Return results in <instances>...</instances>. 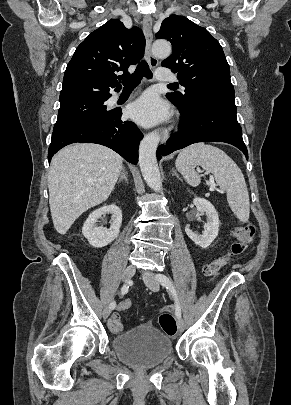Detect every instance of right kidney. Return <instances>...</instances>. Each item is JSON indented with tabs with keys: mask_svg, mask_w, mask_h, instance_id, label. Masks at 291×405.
<instances>
[{
	"mask_svg": "<svg viewBox=\"0 0 291 405\" xmlns=\"http://www.w3.org/2000/svg\"><path fill=\"white\" fill-rule=\"evenodd\" d=\"M111 214V227L107 230L103 227H97L96 222L102 215ZM122 223V213L118 206L112 204L103 206L93 211L85 221L82 233L89 244L95 248H101L110 244L119 235Z\"/></svg>",
	"mask_w": 291,
	"mask_h": 405,
	"instance_id": "obj_1",
	"label": "right kidney"
}]
</instances>
